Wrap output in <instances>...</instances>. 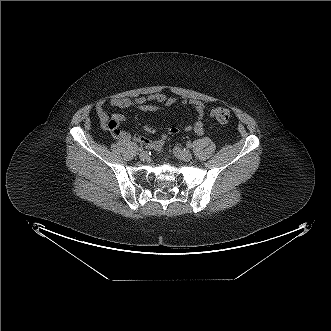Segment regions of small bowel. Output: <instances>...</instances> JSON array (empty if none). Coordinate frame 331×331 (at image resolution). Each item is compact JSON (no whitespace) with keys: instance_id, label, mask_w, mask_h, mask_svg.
I'll list each match as a JSON object with an SVG mask.
<instances>
[{"instance_id":"small-bowel-1","label":"small bowel","mask_w":331,"mask_h":331,"mask_svg":"<svg viewBox=\"0 0 331 331\" xmlns=\"http://www.w3.org/2000/svg\"><path fill=\"white\" fill-rule=\"evenodd\" d=\"M177 103L182 107H192L197 113L196 120L192 124L185 126L182 130L185 132H194L198 135H201L204 132L206 125V120L204 119V112L206 107L204 103L199 100L186 98L178 100L175 97L168 96L163 93H154L149 96H138L133 98L117 97L109 100V104L113 107H136L141 111L147 112H158ZM105 105L106 102L104 100L99 101L96 106V114L101 125L106 130H108L114 138H120L124 140L133 139L139 144L157 150L164 145L169 136L176 135L181 131L179 127H171L153 141H150L141 135H131L130 132L120 128L121 124L125 120L124 115L121 113H113L109 115L105 111ZM143 129L148 134H154L156 132L155 129L150 125H145Z\"/></svg>"}]
</instances>
